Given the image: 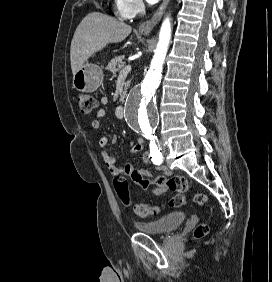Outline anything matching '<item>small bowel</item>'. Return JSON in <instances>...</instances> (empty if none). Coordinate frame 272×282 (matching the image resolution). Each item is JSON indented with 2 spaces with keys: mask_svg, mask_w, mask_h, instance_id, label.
Masks as SVG:
<instances>
[{
  "mask_svg": "<svg viewBox=\"0 0 272 282\" xmlns=\"http://www.w3.org/2000/svg\"><path fill=\"white\" fill-rule=\"evenodd\" d=\"M101 102H102V104H107L108 100H107V98L104 97V98L101 99ZM105 113L106 112H105L104 109H101L97 113L96 117L91 122V125H92L93 128L97 129L101 126V118L105 115ZM110 143L112 145H115L117 143V138L113 137L110 140ZM108 144H109V140L106 137H102L99 140V146L102 148V151H101L102 159L109 169H111L114 172H117L118 171L117 168H116L117 159L114 155H112L106 149ZM131 152H132V154H136V153L141 152L143 162L147 165L152 164V157L150 156V153L147 150L146 142L144 140L137 139L136 143L132 146ZM126 168H128V174L131 175V173H132L131 164H127ZM159 169L166 176H169L171 174L170 170L167 167H159ZM141 174L150 179V182L145 187H141V188H143L144 190L150 189L151 192L155 195H160V194H162L166 191L167 187L165 185L159 184V183H157L153 180L154 178H151V172L149 170H143V171H141Z\"/></svg>",
  "mask_w": 272,
  "mask_h": 282,
  "instance_id": "1",
  "label": "small bowel"
}]
</instances>
